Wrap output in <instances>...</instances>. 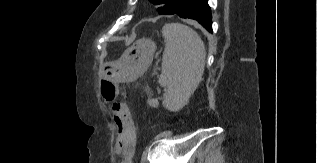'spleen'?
<instances>
[{"label": "spleen", "instance_id": "obj_1", "mask_svg": "<svg viewBox=\"0 0 317 163\" xmlns=\"http://www.w3.org/2000/svg\"><path fill=\"white\" fill-rule=\"evenodd\" d=\"M165 49L159 84L165 87L163 106L178 111L199 85L205 68L206 49L200 36L180 23L162 29Z\"/></svg>", "mask_w": 317, "mask_h": 163}]
</instances>
